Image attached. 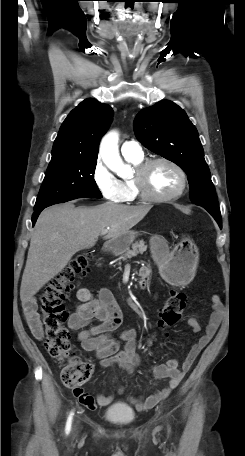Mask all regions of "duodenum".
I'll return each mask as SVG.
<instances>
[{"label":"duodenum","mask_w":245,"mask_h":456,"mask_svg":"<svg viewBox=\"0 0 245 456\" xmlns=\"http://www.w3.org/2000/svg\"><path fill=\"white\" fill-rule=\"evenodd\" d=\"M118 246L116 241H110L105 246V253H111Z\"/></svg>","instance_id":"410a0bca"}]
</instances>
